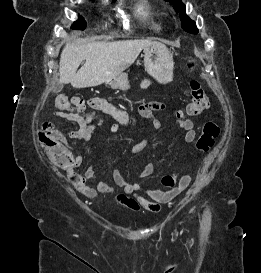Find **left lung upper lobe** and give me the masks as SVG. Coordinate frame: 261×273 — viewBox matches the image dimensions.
Instances as JSON below:
<instances>
[{
    "label": "left lung upper lobe",
    "instance_id": "1",
    "mask_svg": "<svg viewBox=\"0 0 261 273\" xmlns=\"http://www.w3.org/2000/svg\"><path fill=\"white\" fill-rule=\"evenodd\" d=\"M169 1L172 5H174L176 12L180 13V18L182 21V28L190 33H197L198 29L196 27V23L189 19L185 12V5L181 2V0H166Z\"/></svg>",
    "mask_w": 261,
    "mask_h": 273
}]
</instances>
